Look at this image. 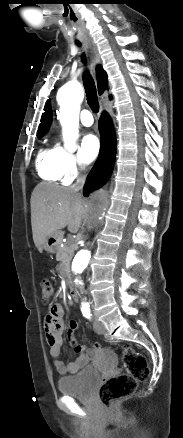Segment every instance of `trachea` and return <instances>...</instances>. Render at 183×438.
<instances>
[{"instance_id": "1", "label": "trachea", "mask_w": 183, "mask_h": 438, "mask_svg": "<svg viewBox=\"0 0 183 438\" xmlns=\"http://www.w3.org/2000/svg\"><path fill=\"white\" fill-rule=\"evenodd\" d=\"M80 46V44H78ZM83 62H86L85 56H82ZM83 83L86 93V98L88 105L92 109L93 112L97 113L99 111V102L97 97V91L95 82L88 71H85L83 74Z\"/></svg>"}]
</instances>
